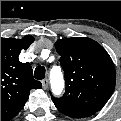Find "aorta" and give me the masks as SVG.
Returning a JSON list of instances; mask_svg holds the SVG:
<instances>
[{
    "mask_svg": "<svg viewBox=\"0 0 121 121\" xmlns=\"http://www.w3.org/2000/svg\"><path fill=\"white\" fill-rule=\"evenodd\" d=\"M51 88L55 95H59L64 87L63 76L59 68H55L51 72Z\"/></svg>",
    "mask_w": 121,
    "mask_h": 121,
    "instance_id": "obj_1",
    "label": "aorta"
}]
</instances>
